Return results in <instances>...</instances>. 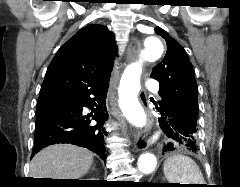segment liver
Listing matches in <instances>:
<instances>
[{"mask_svg":"<svg viewBox=\"0 0 240 187\" xmlns=\"http://www.w3.org/2000/svg\"><path fill=\"white\" fill-rule=\"evenodd\" d=\"M93 154L71 144H55L38 152L30 163V178L78 179L87 174Z\"/></svg>","mask_w":240,"mask_h":187,"instance_id":"1","label":"liver"}]
</instances>
